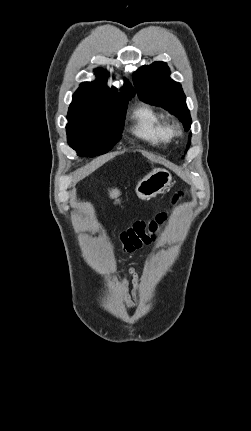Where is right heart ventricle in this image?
<instances>
[{
  "instance_id": "e07e8e85",
  "label": "right heart ventricle",
  "mask_w": 251,
  "mask_h": 431,
  "mask_svg": "<svg viewBox=\"0 0 251 431\" xmlns=\"http://www.w3.org/2000/svg\"><path fill=\"white\" fill-rule=\"evenodd\" d=\"M134 134L154 146H166L173 138L172 127L166 115L148 105L137 107L133 112Z\"/></svg>"
}]
</instances>
